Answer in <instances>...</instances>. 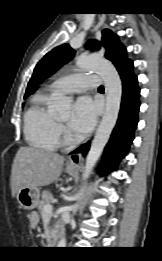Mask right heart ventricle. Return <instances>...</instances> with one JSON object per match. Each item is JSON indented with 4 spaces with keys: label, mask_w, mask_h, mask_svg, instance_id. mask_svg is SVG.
Listing matches in <instances>:
<instances>
[{
    "label": "right heart ventricle",
    "mask_w": 162,
    "mask_h": 261,
    "mask_svg": "<svg viewBox=\"0 0 162 261\" xmlns=\"http://www.w3.org/2000/svg\"><path fill=\"white\" fill-rule=\"evenodd\" d=\"M50 94L36 93L24 115V134L30 146L53 151L59 144L57 117L49 109Z\"/></svg>",
    "instance_id": "obj_1"
}]
</instances>
